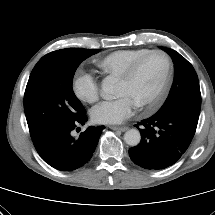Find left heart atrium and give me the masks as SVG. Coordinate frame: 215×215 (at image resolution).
I'll list each match as a JSON object with an SVG mask.
<instances>
[{
	"instance_id": "obj_1",
	"label": "left heart atrium",
	"mask_w": 215,
	"mask_h": 215,
	"mask_svg": "<svg viewBox=\"0 0 215 215\" xmlns=\"http://www.w3.org/2000/svg\"><path fill=\"white\" fill-rule=\"evenodd\" d=\"M136 107V102L129 95L123 94L95 106L91 116L93 121L99 124H119L129 118Z\"/></svg>"
}]
</instances>
